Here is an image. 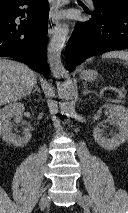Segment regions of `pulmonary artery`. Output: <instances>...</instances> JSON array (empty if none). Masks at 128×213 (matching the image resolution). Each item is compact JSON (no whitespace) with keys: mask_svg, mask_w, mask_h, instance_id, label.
<instances>
[{"mask_svg":"<svg viewBox=\"0 0 128 213\" xmlns=\"http://www.w3.org/2000/svg\"><path fill=\"white\" fill-rule=\"evenodd\" d=\"M90 5H93V1L92 0H86Z\"/></svg>","mask_w":128,"mask_h":213,"instance_id":"e3ab8cb5","label":"pulmonary artery"}]
</instances>
